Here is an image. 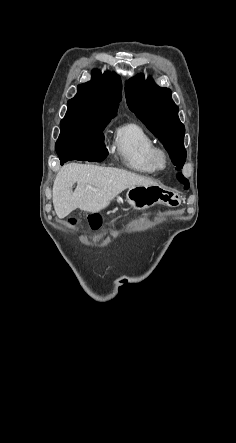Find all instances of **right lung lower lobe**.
Returning <instances> with one entry per match:
<instances>
[{"mask_svg":"<svg viewBox=\"0 0 236 443\" xmlns=\"http://www.w3.org/2000/svg\"><path fill=\"white\" fill-rule=\"evenodd\" d=\"M57 154L61 164L74 159L101 162L107 157L108 150L105 146L80 145L64 147Z\"/></svg>","mask_w":236,"mask_h":443,"instance_id":"right-lung-lower-lobe-1","label":"right lung lower lobe"}]
</instances>
